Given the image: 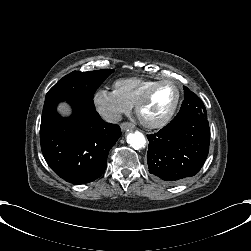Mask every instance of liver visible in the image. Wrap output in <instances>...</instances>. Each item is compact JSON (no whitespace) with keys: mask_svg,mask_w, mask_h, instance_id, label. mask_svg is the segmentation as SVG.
I'll list each match as a JSON object with an SVG mask.
<instances>
[{"mask_svg":"<svg viewBox=\"0 0 251 251\" xmlns=\"http://www.w3.org/2000/svg\"><path fill=\"white\" fill-rule=\"evenodd\" d=\"M55 111L63 119L71 118L74 114L73 106L68 101L58 102Z\"/></svg>","mask_w":251,"mask_h":251,"instance_id":"liver-1","label":"liver"}]
</instances>
